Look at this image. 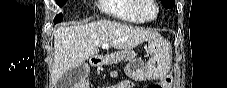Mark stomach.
Segmentation results:
<instances>
[{
  "mask_svg": "<svg viewBox=\"0 0 227 88\" xmlns=\"http://www.w3.org/2000/svg\"><path fill=\"white\" fill-rule=\"evenodd\" d=\"M148 52L151 55L149 61L141 67H127L129 75L137 80H153L165 76L171 67L172 47L163 37H154L148 42Z\"/></svg>",
  "mask_w": 227,
  "mask_h": 88,
  "instance_id": "obj_1",
  "label": "stomach"
}]
</instances>
